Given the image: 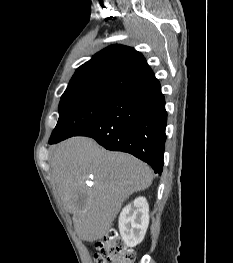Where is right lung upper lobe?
Instances as JSON below:
<instances>
[{
  "instance_id": "cb5924a9",
  "label": "right lung upper lobe",
  "mask_w": 233,
  "mask_h": 263,
  "mask_svg": "<svg viewBox=\"0 0 233 263\" xmlns=\"http://www.w3.org/2000/svg\"><path fill=\"white\" fill-rule=\"evenodd\" d=\"M154 77L140 52L112 45L76 70L62 96L89 92L119 94Z\"/></svg>"
}]
</instances>
